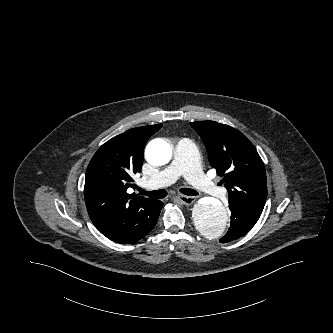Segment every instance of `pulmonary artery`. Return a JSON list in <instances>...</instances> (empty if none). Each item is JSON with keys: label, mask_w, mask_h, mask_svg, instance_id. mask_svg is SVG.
<instances>
[{"label": "pulmonary artery", "mask_w": 333, "mask_h": 333, "mask_svg": "<svg viewBox=\"0 0 333 333\" xmlns=\"http://www.w3.org/2000/svg\"><path fill=\"white\" fill-rule=\"evenodd\" d=\"M181 176L200 192L217 197L224 194V189L219 188L202 173L198 164L196 146L187 138H182L177 143L172 162L158 175L146 181L145 186L150 188L168 186Z\"/></svg>", "instance_id": "e3ab8cb5"}]
</instances>
